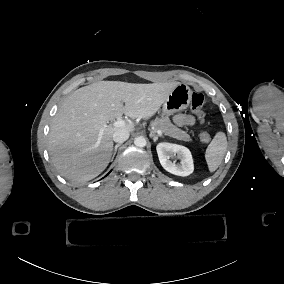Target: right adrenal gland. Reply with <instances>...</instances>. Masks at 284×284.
I'll use <instances>...</instances> for the list:
<instances>
[{"label":"right adrenal gland","instance_id":"1","mask_svg":"<svg viewBox=\"0 0 284 284\" xmlns=\"http://www.w3.org/2000/svg\"><path fill=\"white\" fill-rule=\"evenodd\" d=\"M122 145V143H118L117 145H115V148H114V153L112 154L111 156V160H114V157L117 153V149Z\"/></svg>","mask_w":284,"mask_h":284}]
</instances>
